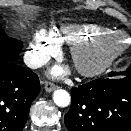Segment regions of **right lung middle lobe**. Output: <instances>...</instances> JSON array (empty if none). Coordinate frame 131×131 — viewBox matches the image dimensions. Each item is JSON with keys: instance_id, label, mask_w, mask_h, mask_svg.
<instances>
[{"instance_id": "obj_1", "label": "right lung middle lobe", "mask_w": 131, "mask_h": 131, "mask_svg": "<svg viewBox=\"0 0 131 131\" xmlns=\"http://www.w3.org/2000/svg\"><path fill=\"white\" fill-rule=\"evenodd\" d=\"M22 45L21 41L8 37L0 26V56L13 60L21 52Z\"/></svg>"}]
</instances>
